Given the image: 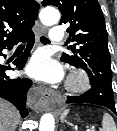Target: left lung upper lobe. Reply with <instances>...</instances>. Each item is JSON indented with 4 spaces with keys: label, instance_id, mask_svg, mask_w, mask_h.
Segmentation results:
<instances>
[{
    "label": "left lung upper lobe",
    "instance_id": "5c2ea615",
    "mask_svg": "<svg viewBox=\"0 0 117 131\" xmlns=\"http://www.w3.org/2000/svg\"><path fill=\"white\" fill-rule=\"evenodd\" d=\"M62 13L61 24L69 25V38L75 42L61 60L85 70L90 82L112 90V70L105 19L97 0H43Z\"/></svg>",
    "mask_w": 117,
    "mask_h": 131
}]
</instances>
